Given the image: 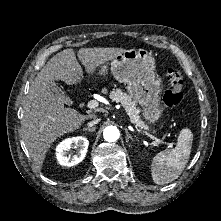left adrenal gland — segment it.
I'll return each mask as SVG.
<instances>
[{
  "instance_id": "obj_1",
  "label": "left adrenal gland",
  "mask_w": 221,
  "mask_h": 221,
  "mask_svg": "<svg viewBox=\"0 0 221 221\" xmlns=\"http://www.w3.org/2000/svg\"><path fill=\"white\" fill-rule=\"evenodd\" d=\"M126 133V143H129V140L133 141V137L129 134L128 129H125Z\"/></svg>"
}]
</instances>
